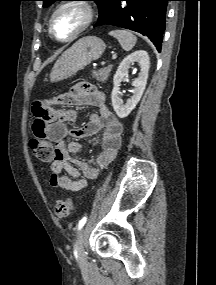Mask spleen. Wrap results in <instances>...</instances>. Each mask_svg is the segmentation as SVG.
Masks as SVG:
<instances>
[{"label":"spleen","mask_w":216,"mask_h":285,"mask_svg":"<svg viewBox=\"0 0 216 285\" xmlns=\"http://www.w3.org/2000/svg\"><path fill=\"white\" fill-rule=\"evenodd\" d=\"M109 34L116 38L121 47L126 51H130L137 42L136 36L127 30H114L110 31Z\"/></svg>","instance_id":"obj_1"}]
</instances>
